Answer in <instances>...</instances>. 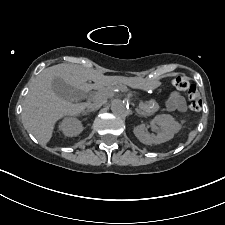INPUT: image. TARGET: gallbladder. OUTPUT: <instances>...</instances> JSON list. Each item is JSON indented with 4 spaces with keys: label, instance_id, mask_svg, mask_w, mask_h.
Masks as SVG:
<instances>
[{
    "label": "gallbladder",
    "instance_id": "obj_1",
    "mask_svg": "<svg viewBox=\"0 0 225 225\" xmlns=\"http://www.w3.org/2000/svg\"><path fill=\"white\" fill-rule=\"evenodd\" d=\"M52 89L55 94L61 98H64L68 101L72 100L79 91L67 84L63 79L55 77L52 81Z\"/></svg>",
    "mask_w": 225,
    "mask_h": 225
}]
</instances>
